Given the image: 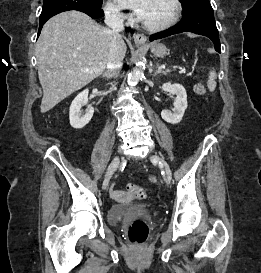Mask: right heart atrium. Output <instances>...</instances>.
Segmentation results:
<instances>
[{"instance_id": "1", "label": "right heart atrium", "mask_w": 261, "mask_h": 273, "mask_svg": "<svg viewBox=\"0 0 261 273\" xmlns=\"http://www.w3.org/2000/svg\"><path fill=\"white\" fill-rule=\"evenodd\" d=\"M105 14L110 20L113 21H123L126 17L121 7L112 1L106 3Z\"/></svg>"}]
</instances>
